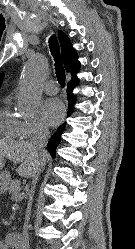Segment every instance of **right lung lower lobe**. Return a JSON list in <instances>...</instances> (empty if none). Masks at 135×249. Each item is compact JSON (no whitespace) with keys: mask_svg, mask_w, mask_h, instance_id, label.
I'll return each instance as SVG.
<instances>
[{"mask_svg":"<svg viewBox=\"0 0 135 249\" xmlns=\"http://www.w3.org/2000/svg\"><path fill=\"white\" fill-rule=\"evenodd\" d=\"M79 84V79L75 78V79H71L68 82V87H67V99H68V116L71 115V113L74 111V104L76 102V97L75 95L72 93L73 89L78 86ZM65 124L61 125L57 131L52 135V137L49 140L48 143V150L50 151L51 155L54 157L55 156V150L60 142L61 139V134L63 133L64 129H65Z\"/></svg>","mask_w":135,"mask_h":249,"instance_id":"1","label":"right lung lower lobe"}]
</instances>
